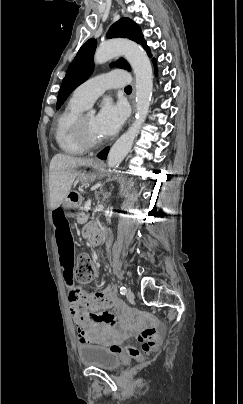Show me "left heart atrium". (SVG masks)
<instances>
[{
  "label": "left heart atrium",
  "instance_id": "1",
  "mask_svg": "<svg viewBox=\"0 0 243 404\" xmlns=\"http://www.w3.org/2000/svg\"><path fill=\"white\" fill-rule=\"evenodd\" d=\"M124 120V114L120 106L111 100H105L95 117V132L99 139H108L117 133Z\"/></svg>",
  "mask_w": 243,
  "mask_h": 404
}]
</instances>
